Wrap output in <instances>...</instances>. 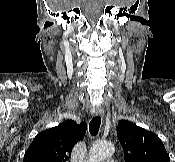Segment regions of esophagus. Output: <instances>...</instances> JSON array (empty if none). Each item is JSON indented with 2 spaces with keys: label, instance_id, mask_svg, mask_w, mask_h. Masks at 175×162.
I'll list each match as a JSON object with an SVG mask.
<instances>
[{
  "label": "esophagus",
  "instance_id": "34e87169",
  "mask_svg": "<svg viewBox=\"0 0 175 162\" xmlns=\"http://www.w3.org/2000/svg\"><path fill=\"white\" fill-rule=\"evenodd\" d=\"M94 115L95 116H103L104 115V111L102 108L98 107L94 110Z\"/></svg>",
  "mask_w": 175,
  "mask_h": 162
}]
</instances>
